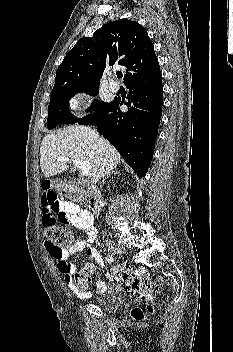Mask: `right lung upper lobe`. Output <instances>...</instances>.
<instances>
[{
  "label": "right lung upper lobe",
  "mask_w": 233,
  "mask_h": 352,
  "mask_svg": "<svg viewBox=\"0 0 233 352\" xmlns=\"http://www.w3.org/2000/svg\"><path fill=\"white\" fill-rule=\"evenodd\" d=\"M115 63L127 68L125 84L160 68L153 44L138 22H110L79 40L59 66L54 87L99 85L105 68Z\"/></svg>",
  "instance_id": "1"
}]
</instances>
